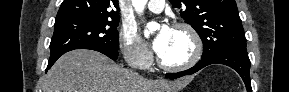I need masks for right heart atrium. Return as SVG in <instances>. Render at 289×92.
I'll use <instances>...</instances> for the list:
<instances>
[{
    "label": "right heart atrium",
    "instance_id": "obj_1",
    "mask_svg": "<svg viewBox=\"0 0 289 92\" xmlns=\"http://www.w3.org/2000/svg\"><path fill=\"white\" fill-rule=\"evenodd\" d=\"M121 52L125 60L138 68H146L150 65L152 55L131 26H124L119 35Z\"/></svg>",
    "mask_w": 289,
    "mask_h": 92
}]
</instances>
